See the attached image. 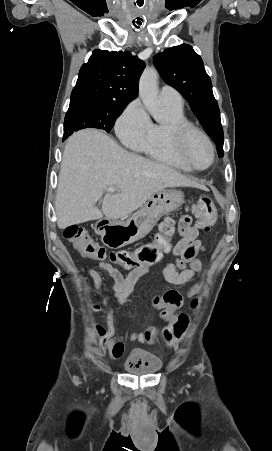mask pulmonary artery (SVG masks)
<instances>
[{"instance_id": "pulmonary-artery-1", "label": "pulmonary artery", "mask_w": 272, "mask_h": 451, "mask_svg": "<svg viewBox=\"0 0 272 451\" xmlns=\"http://www.w3.org/2000/svg\"><path fill=\"white\" fill-rule=\"evenodd\" d=\"M160 99L177 110H182L183 108V99L181 95L168 86L161 88Z\"/></svg>"}]
</instances>
